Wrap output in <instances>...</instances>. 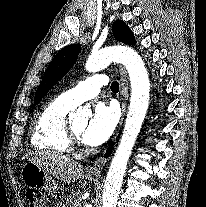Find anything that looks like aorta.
Instances as JSON below:
<instances>
[{
    "label": "aorta",
    "instance_id": "obj_1",
    "mask_svg": "<svg viewBox=\"0 0 206 207\" xmlns=\"http://www.w3.org/2000/svg\"><path fill=\"white\" fill-rule=\"evenodd\" d=\"M111 62L122 63L126 67L132 90L123 134L104 182L102 207H116L127 163L147 113L150 92L144 62L140 55L129 47H109L92 53L85 68L89 72H98ZM84 114L85 110L79 108L70 115V119Z\"/></svg>",
    "mask_w": 206,
    "mask_h": 207
}]
</instances>
